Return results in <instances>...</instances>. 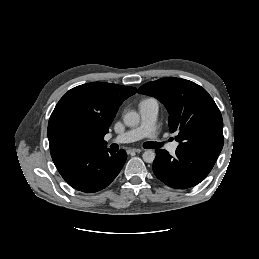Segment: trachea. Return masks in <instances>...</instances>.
<instances>
[{"label":"trachea","mask_w":259,"mask_h":259,"mask_svg":"<svg viewBox=\"0 0 259 259\" xmlns=\"http://www.w3.org/2000/svg\"><path fill=\"white\" fill-rule=\"evenodd\" d=\"M159 146L160 144L157 142H146L144 144V148H150V149H155V148H158Z\"/></svg>","instance_id":"obj_1"}]
</instances>
